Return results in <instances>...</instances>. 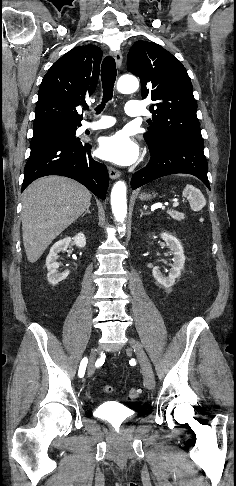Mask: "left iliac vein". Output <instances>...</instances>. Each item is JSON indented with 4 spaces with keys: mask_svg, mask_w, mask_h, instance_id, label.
I'll list each match as a JSON object with an SVG mask.
<instances>
[{
    "mask_svg": "<svg viewBox=\"0 0 236 486\" xmlns=\"http://www.w3.org/2000/svg\"><path fill=\"white\" fill-rule=\"evenodd\" d=\"M129 345L136 354L137 360L142 368L145 387L149 390H153L155 387V379L153 369L147 354L145 353L141 344L134 338H129Z\"/></svg>",
    "mask_w": 236,
    "mask_h": 486,
    "instance_id": "obj_1",
    "label": "left iliac vein"
}]
</instances>
